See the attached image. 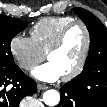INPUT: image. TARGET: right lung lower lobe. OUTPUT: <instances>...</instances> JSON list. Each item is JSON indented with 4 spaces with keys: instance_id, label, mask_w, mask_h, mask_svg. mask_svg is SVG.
<instances>
[{
    "instance_id": "right-lung-lower-lobe-1",
    "label": "right lung lower lobe",
    "mask_w": 107,
    "mask_h": 107,
    "mask_svg": "<svg viewBox=\"0 0 107 107\" xmlns=\"http://www.w3.org/2000/svg\"><path fill=\"white\" fill-rule=\"evenodd\" d=\"M12 87H8V85ZM36 82L18 66L0 70V107H18L21 99L35 93Z\"/></svg>"
}]
</instances>
